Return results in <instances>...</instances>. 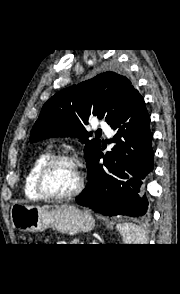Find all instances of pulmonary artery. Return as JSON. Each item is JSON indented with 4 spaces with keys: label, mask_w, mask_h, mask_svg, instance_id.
Returning a JSON list of instances; mask_svg holds the SVG:
<instances>
[{
    "label": "pulmonary artery",
    "mask_w": 180,
    "mask_h": 294,
    "mask_svg": "<svg viewBox=\"0 0 180 294\" xmlns=\"http://www.w3.org/2000/svg\"><path fill=\"white\" fill-rule=\"evenodd\" d=\"M97 127L99 129H101L103 132H105V134L108 137H112L113 136V130H112V128L106 122H104V121L98 122L97 123Z\"/></svg>",
    "instance_id": "e3ab8cb5"
}]
</instances>
